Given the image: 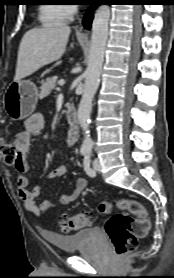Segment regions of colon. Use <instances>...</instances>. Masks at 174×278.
I'll return each instance as SVG.
<instances>
[{"label":"colon","mask_w":174,"mask_h":278,"mask_svg":"<svg viewBox=\"0 0 174 278\" xmlns=\"http://www.w3.org/2000/svg\"><path fill=\"white\" fill-rule=\"evenodd\" d=\"M0 154L4 160L13 164L16 151L12 144L0 138ZM115 208L121 213L112 215L105 224L106 233L118 255L126 254L135 249L137 240L147 234L150 223L144 207L134 199L122 198L115 201H102L98 210L109 214ZM95 220L91 211H82L74 215H61L59 223L64 231H77L90 226Z\"/></svg>","instance_id":"colon-1"}]
</instances>
